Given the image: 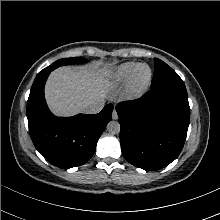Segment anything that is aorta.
Returning <instances> with one entry per match:
<instances>
[{"label":"aorta","instance_id":"1","mask_svg":"<svg viewBox=\"0 0 220 220\" xmlns=\"http://www.w3.org/2000/svg\"><path fill=\"white\" fill-rule=\"evenodd\" d=\"M107 130L111 134H118L120 132V124L117 121H110L107 125Z\"/></svg>","mask_w":220,"mask_h":220}]
</instances>
